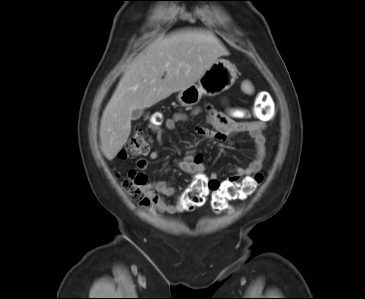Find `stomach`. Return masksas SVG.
<instances>
[{
	"instance_id": "stomach-1",
	"label": "stomach",
	"mask_w": 365,
	"mask_h": 299,
	"mask_svg": "<svg viewBox=\"0 0 365 299\" xmlns=\"http://www.w3.org/2000/svg\"><path fill=\"white\" fill-rule=\"evenodd\" d=\"M237 78L235 66L226 59H217L199 78L198 82L181 90L178 101L182 106L192 107L203 95H218L228 90Z\"/></svg>"
}]
</instances>
